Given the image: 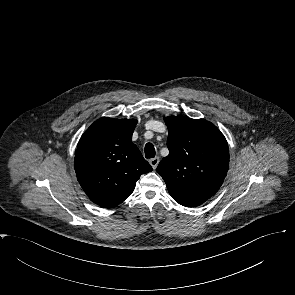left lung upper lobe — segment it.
<instances>
[{
    "label": "left lung upper lobe",
    "mask_w": 295,
    "mask_h": 295,
    "mask_svg": "<svg viewBox=\"0 0 295 295\" xmlns=\"http://www.w3.org/2000/svg\"><path fill=\"white\" fill-rule=\"evenodd\" d=\"M169 155L157 172L172 198L186 207L198 206L221 187L229 167L228 144L211 122L185 116L165 117Z\"/></svg>",
    "instance_id": "1"
}]
</instances>
